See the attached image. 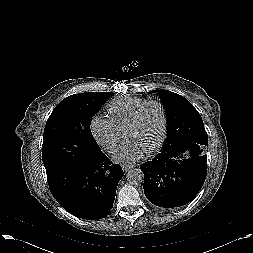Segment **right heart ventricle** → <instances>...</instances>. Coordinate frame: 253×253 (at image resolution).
I'll use <instances>...</instances> for the list:
<instances>
[{
    "label": "right heart ventricle",
    "instance_id": "e07e8e85",
    "mask_svg": "<svg viewBox=\"0 0 253 253\" xmlns=\"http://www.w3.org/2000/svg\"><path fill=\"white\" fill-rule=\"evenodd\" d=\"M145 102H147L146 99L129 96L113 99L108 105V114L111 122L120 131H124L133 114Z\"/></svg>",
    "mask_w": 253,
    "mask_h": 253
}]
</instances>
